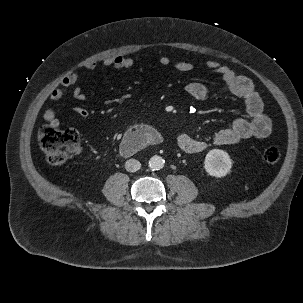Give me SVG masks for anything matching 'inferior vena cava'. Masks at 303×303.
Returning <instances> with one entry per match:
<instances>
[{"label":"inferior vena cava","instance_id":"obj_1","mask_svg":"<svg viewBox=\"0 0 303 303\" xmlns=\"http://www.w3.org/2000/svg\"><path fill=\"white\" fill-rule=\"evenodd\" d=\"M141 163L136 159H129L125 163V168L128 172H136L140 169Z\"/></svg>","mask_w":303,"mask_h":303}]
</instances>
